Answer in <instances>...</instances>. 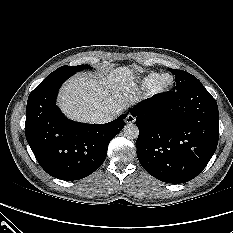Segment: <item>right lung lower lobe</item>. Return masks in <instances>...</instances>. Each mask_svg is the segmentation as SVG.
Returning a JSON list of instances; mask_svg holds the SVG:
<instances>
[{"label": "right lung lower lobe", "instance_id": "98d812e1", "mask_svg": "<svg viewBox=\"0 0 233 233\" xmlns=\"http://www.w3.org/2000/svg\"><path fill=\"white\" fill-rule=\"evenodd\" d=\"M71 74L44 80L29 95L25 135L38 163L62 180L82 179L104 162L108 144L124 127L125 114L105 124L67 119L55 105L58 90Z\"/></svg>", "mask_w": 233, "mask_h": 233}]
</instances>
